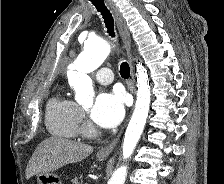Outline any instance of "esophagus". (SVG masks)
<instances>
[{
  "instance_id": "obj_1",
  "label": "esophagus",
  "mask_w": 224,
  "mask_h": 184,
  "mask_svg": "<svg viewBox=\"0 0 224 184\" xmlns=\"http://www.w3.org/2000/svg\"><path fill=\"white\" fill-rule=\"evenodd\" d=\"M107 2H108L109 6H110V8L113 12V15H114L119 33L121 35V38L123 40L124 46H125L126 51H127L130 70H131V80H130V87L129 88H130V91L132 93H134L135 79H134V71H133L132 56H131V37H130V33L127 29L126 22H125L122 14H121L119 8L116 6V4L112 0H107ZM123 129H124V127L121 128V130L119 131L117 136L111 142H109L107 145H105L104 147L99 149L98 155L108 156L113 151L117 142L119 141V138H120V136L123 132Z\"/></svg>"
}]
</instances>
